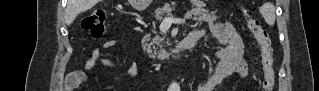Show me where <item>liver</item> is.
<instances>
[{
	"label": "liver",
	"mask_w": 319,
	"mask_h": 91,
	"mask_svg": "<svg viewBox=\"0 0 319 91\" xmlns=\"http://www.w3.org/2000/svg\"><path fill=\"white\" fill-rule=\"evenodd\" d=\"M99 0H69L68 4V23L71 24L78 14L91 9Z\"/></svg>",
	"instance_id": "1"
}]
</instances>
